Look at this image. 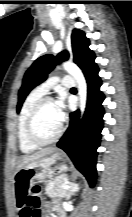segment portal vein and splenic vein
I'll use <instances>...</instances> for the list:
<instances>
[{"instance_id":"portal-vein-and-splenic-vein-1","label":"portal vein and splenic vein","mask_w":132,"mask_h":217,"mask_svg":"<svg viewBox=\"0 0 132 217\" xmlns=\"http://www.w3.org/2000/svg\"><path fill=\"white\" fill-rule=\"evenodd\" d=\"M70 188V185L69 184H66L63 189H69Z\"/></svg>"}]
</instances>
